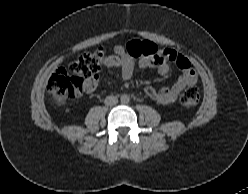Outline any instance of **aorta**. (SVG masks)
<instances>
[{
    "label": "aorta",
    "mask_w": 248,
    "mask_h": 194,
    "mask_svg": "<svg viewBox=\"0 0 248 194\" xmlns=\"http://www.w3.org/2000/svg\"><path fill=\"white\" fill-rule=\"evenodd\" d=\"M120 101L122 104H127L130 101V97L127 94H123L120 97Z\"/></svg>",
    "instance_id": "aorta-1"
}]
</instances>
